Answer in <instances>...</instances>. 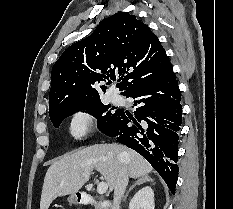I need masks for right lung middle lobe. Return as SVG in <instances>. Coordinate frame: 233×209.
I'll return each instance as SVG.
<instances>
[{"label": "right lung middle lobe", "mask_w": 233, "mask_h": 209, "mask_svg": "<svg viewBox=\"0 0 233 209\" xmlns=\"http://www.w3.org/2000/svg\"><path fill=\"white\" fill-rule=\"evenodd\" d=\"M81 109L87 110L89 114L97 119L98 128L102 132H104L114 122L120 111L116 110V112L112 113L110 105H104L101 100H95L58 107L51 111L49 116L54 127L59 128V125L64 118Z\"/></svg>", "instance_id": "1"}]
</instances>
